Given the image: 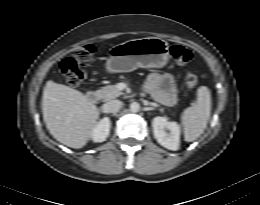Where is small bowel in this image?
<instances>
[{
    "mask_svg": "<svg viewBox=\"0 0 260 205\" xmlns=\"http://www.w3.org/2000/svg\"><path fill=\"white\" fill-rule=\"evenodd\" d=\"M146 89L166 105H173L177 100L175 78L170 74L151 73L146 81Z\"/></svg>",
    "mask_w": 260,
    "mask_h": 205,
    "instance_id": "small-bowel-1",
    "label": "small bowel"
}]
</instances>
